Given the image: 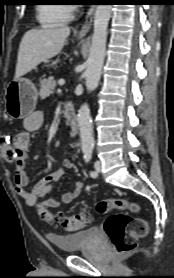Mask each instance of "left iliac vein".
I'll return each mask as SVG.
<instances>
[{
  "label": "left iliac vein",
  "mask_w": 174,
  "mask_h": 278,
  "mask_svg": "<svg viewBox=\"0 0 174 278\" xmlns=\"http://www.w3.org/2000/svg\"><path fill=\"white\" fill-rule=\"evenodd\" d=\"M95 170L97 173H99L101 171V162L99 160H97L94 164Z\"/></svg>",
  "instance_id": "4c4485c4"
}]
</instances>
